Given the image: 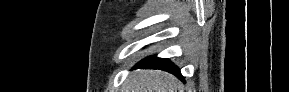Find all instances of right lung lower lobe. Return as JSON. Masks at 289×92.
Instances as JSON below:
<instances>
[{"mask_svg": "<svg viewBox=\"0 0 289 92\" xmlns=\"http://www.w3.org/2000/svg\"><path fill=\"white\" fill-rule=\"evenodd\" d=\"M134 68H140V69H159L168 71L180 79L184 80L182 77L180 70L177 66H175L170 60L163 59V58H157L156 56L149 57L147 59H144L140 61Z\"/></svg>", "mask_w": 289, "mask_h": 92, "instance_id": "1", "label": "right lung lower lobe"}]
</instances>
